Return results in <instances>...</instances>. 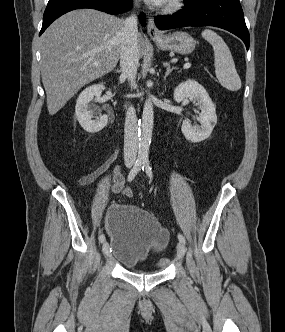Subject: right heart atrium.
I'll list each match as a JSON object with an SVG mask.
<instances>
[{"instance_id":"right-heart-atrium-1","label":"right heart atrium","mask_w":285,"mask_h":332,"mask_svg":"<svg viewBox=\"0 0 285 332\" xmlns=\"http://www.w3.org/2000/svg\"><path fill=\"white\" fill-rule=\"evenodd\" d=\"M136 3L138 2V0H134Z\"/></svg>"}]
</instances>
